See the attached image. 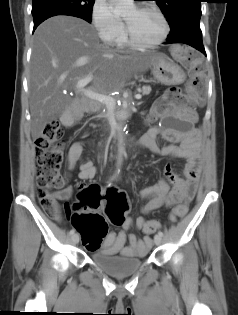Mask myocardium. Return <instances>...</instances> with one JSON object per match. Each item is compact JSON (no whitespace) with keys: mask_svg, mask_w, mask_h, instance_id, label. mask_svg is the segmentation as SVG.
<instances>
[{"mask_svg":"<svg viewBox=\"0 0 238 315\" xmlns=\"http://www.w3.org/2000/svg\"><path fill=\"white\" fill-rule=\"evenodd\" d=\"M136 8L138 10H148L155 13L162 22L163 32H162V35L159 37V39H157L154 42H150V43L139 42L133 37L129 25L127 24L126 21H124V35H125V39L128 45L136 49H151V48H155L161 45L167 39L170 33V25L164 13L159 8L152 5H140Z\"/></svg>","mask_w":238,"mask_h":315,"instance_id":"1","label":"myocardium"}]
</instances>
